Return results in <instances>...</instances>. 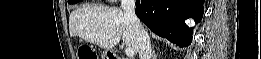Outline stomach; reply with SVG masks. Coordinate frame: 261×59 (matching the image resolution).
Returning <instances> with one entry per match:
<instances>
[{
  "label": "stomach",
  "instance_id": "1",
  "mask_svg": "<svg viewBox=\"0 0 261 59\" xmlns=\"http://www.w3.org/2000/svg\"><path fill=\"white\" fill-rule=\"evenodd\" d=\"M108 55H109V57L111 58L112 54H111L110 52H108V51H105V52H103V54L101 55V58H102V59H107V58H108Z\"/></svg>",
  "mask_w": 261,
  "mask_h": 59
}]
</instances>
